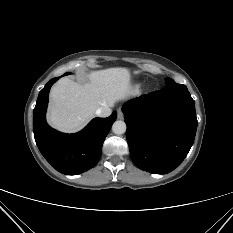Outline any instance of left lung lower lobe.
<instances>
[{"mask_svg":"<svg viewBox=\"0 0 233 233\" xmlns=\"http://www.w3.org/2000/svg\"><path fill=\"white\" fill-rule=\"evenodd\" d=\"M122 111L131 159L138 168L166 174L181 164L198 124L195 102L185 85L176 83L132 99Z\"/></svg>","mask_w":233,"mask_h":233,"instance_id":"1","label":"left lung lower lobe"}]
</instances>
